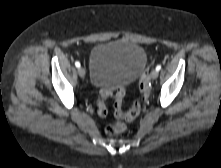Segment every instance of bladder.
I'll list each match as a JSON object with an SVG mask.
<instances>
[{"label":"bladder","mask_w":221,"mask_h":168,"mask_svg":"<svg viewBox=\"0 0 221 168\" xmlns=\"http://www.w3.org/2000/svg\"><path fill=\"white\" fill-rule=\"evenodd\" d=\"M146 63V52L138 44L124 40L102 42L90 52V81L100 88L125 86L136 81Z\"/></svg>","instance_id":"obj_1"}]
</instances>
